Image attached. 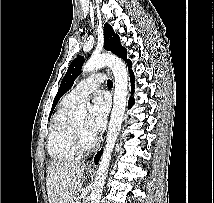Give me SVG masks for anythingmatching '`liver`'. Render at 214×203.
<instances>
[{
	"label": "liver",
	"mask_w": 214,
	"mask_h": 203,
	"mask_svg": "<svg viewBox=\"0 0 214 203\" xmlns=\"http://www.w3.org/2000/svg\"><path fill=\"white\" fill-rule=\"evenodd\" d=\"M84 169L79 161L50 163L46 177L49 203H67L74 197L82 188Z\"/></svg>",
	"instance_id": "6515ba94"
}]
</instances>
